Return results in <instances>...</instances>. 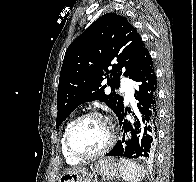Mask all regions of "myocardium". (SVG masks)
Returning a JSON list of instances; mask_svg holds the SVG:
<instances>
[{"instance_id": "1", "label": "myocardium", "mask_w": 196, "mask_h": 182, "mask_svg": "<svg viewBox=\"0 0 196 182\" xmlns=\"http://www.w3.org/2000/svg\"><path fill=\"white\" fill-rule=\"evenodd\" d=\"M88 118H98L104 122V124L106 125V128H107V139H106L104 146L100 150H98L92 154H82V153H79L73 149L71 142H70V139H71V135H72V132L75 129V127L81 121L88 119ZM114 139H115L114 128H113L111 122L109 121V119L100 112L89 111V112H86V113L78 116L70 123V125L68 126L67 131L65 133L64 144H65V148H66L67 152L71 156H73L79 160H91V159L98 158V157L104 155L105 153H107L111 149V147L114 143Z\"/></svg>"}]
</instances>
